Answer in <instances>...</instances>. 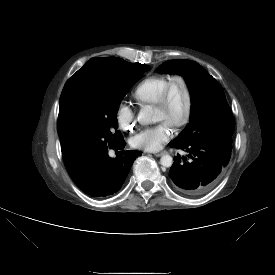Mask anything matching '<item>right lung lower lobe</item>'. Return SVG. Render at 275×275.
<instances>
[{
    "instance_id": "obj_1",
    "label": "right lung lower lobe",
    "mask_w": 275,
    "mask_h": 275,
    "mask_svg": "<svg viewBox=\"0 0 275 275\" xmlns=\"http://www.w3.org/2000/svg\"><path fill=\"white\" fill-rule=\"evenodd\" d=\"M122 139L113 149H122ZM139 151H126L120 158H110L108 152L95 158H87L69 171L73 181L85 193L94 197H105L117 192L123 185Z\"/></svg>"
}]
</instances>
